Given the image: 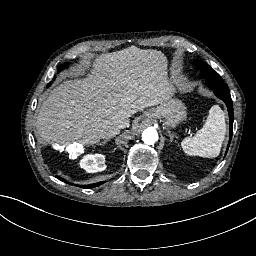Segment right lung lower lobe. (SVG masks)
<instances>
[{
    "label": "right lung lower lobe",
    "mask_w": 256,
    "mask_h": 256,
    "mask_svg": "<svg viewBox=\"0 0 256 256\" xmlns=\"http://www.w3.org/2000/svg\"><path fill=\"white\" fill-rule=\"evenodd\" d=\"M58 179H60L61 181L63 182H66L68 183L67 181H65L63 178L57 176ZM104 182H98V183H95V184H90V185H81L79 187H82V188H85V189H88V188H93V187H96V186H99L101 184H103Z\"/></svg>",
    "instance_id": "98d812e1"
}]
</instances>
